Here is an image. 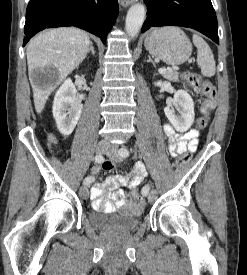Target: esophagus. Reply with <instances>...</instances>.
I'll return each mask as SVG.
<instances>
[{"label": "esophagus", "mask_w": 247, "mask_h": 275, "mask_svg": "<svg viewBox=\"0 0 247 275\" xmlns=\"http://www.w3.org/2000/svg\"><path fill=\"white\" fill-rule=\"evenodd\" d=\"M134 0H119V3L121 4V6L123 7H128L129 5L132 4Z\"/></svg>", "instance_id": "1"}]
</instances>
